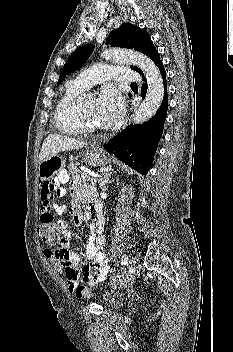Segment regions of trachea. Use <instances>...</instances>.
<instances>
[{
  "instance_id": "1",
  "label": "trachea",
  "mask_w": 233,
  "mask_h": 352,
  "mask_svg": "<svg viewBox=\"0 0 233 352\" xmlns=\"http://www.w3.org/2000/svg\"><path fill=\"white\" fill-rule=\"evenodd\" d=\"M131 85H137L136 83H131Z\"/></svg>"
}]
</instances>
